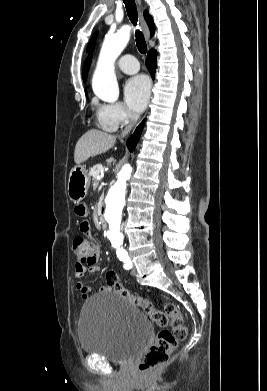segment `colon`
I'll use <instances>...</instances> for the list:
<instances>
[{"mask_svg":"<svg viewBox=\"0 0 267 391\" xmlns=\"http://www.w3.org/2000/svg\"><path fill=\"white\" fill-rule=\"evenodd\" d=\"M72 251L76 257V264L79 266H89L97 261V245L91 238L76 237L72 243ZM106 283L109 288L132 304L141 307L145 314L162 328L139 364L141 374L148 376L169 360L179 341L186 337L187 328L183 316L174 304L168 303L164 305L163 310H159L147 298L126 289L120 284L118 275L114 271L107 272ZM168 325L171 327L170 330L165 328Z\"/></svg>","mask_w":267,"mask_h":391,"instance_id":"1","label":"colon"}]
</instances>
